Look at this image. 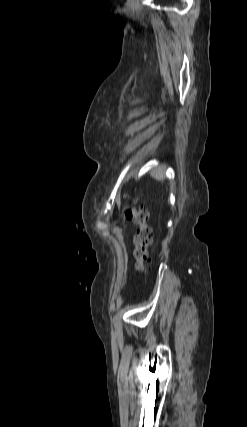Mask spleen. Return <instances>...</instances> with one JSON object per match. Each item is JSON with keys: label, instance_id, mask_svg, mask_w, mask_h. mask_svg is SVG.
<instances>
[{"label": "spleen", "instance_id": "3e777b00", "mask_svg": "<svg viewBox=\"0 0 247 427\" xmlns=\"http://www.w3.org/2000/svg\"><path fill=\"white\" fill-rule=\"evenodd\" d=\"M166 171V166L162 165L150 172L151 176L156 180H163Z\"/></svg>", "mask_w": 247, "mask_h": 427}]
</instances>
